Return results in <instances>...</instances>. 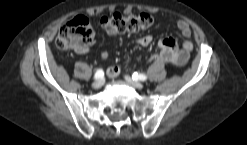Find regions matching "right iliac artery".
<instances>
[{"instance_id": "obj_1", "label": "right iliac artery", "mask_w": 247, "mask_h": 145, "mask_svg": "<svg viewBox=\"0 0 247 145\" xmlns=\"http://www.w3.org/2000/svg\"><path fill=\"white\" fill-rule=\"evenodd\" d=\"M104 76V71L102 69H98L94 75V79H100Z\"/></svg>"}]
</instances>
